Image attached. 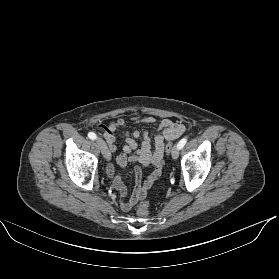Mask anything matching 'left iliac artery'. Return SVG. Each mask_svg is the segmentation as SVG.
<instances>
[{"label": "left iliac artery", "instance_id": "obj_1", "mask_svg": "<svg viewBox=\"0 0 279 279\" xmlns=\"http://www.w3.org/2000/svg\"><path fill=\"white\" fill-rule=\"evenodd\" d=\"M186 142H187V138H186V137H185V138H182V139L178 142V144H177L178 148H179V149L183 148L184 145L186 144Z\"/></svg>", "mask_w": 279, "mask_h": 279}]
</instances>
